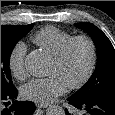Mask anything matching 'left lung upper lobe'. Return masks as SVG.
I'll return each instance as SVG.
<instances>
[{"label":"left lung upper lobe","mask_w":115,"mask_h":115,"mask_svg":"<svg viewBox=\"0 0 115 115\" xmlns=\"http://www.w3.org/2000/svg\"><path fill=\"white\" fill-rule=\"evenodd\" d=\"M86 30L97 49V64L88 82L71 97L85 101L99 97H115V50L107 36L89 22L77 23Z\"/></svg>","instance_id":"obj_1"}]
</instances>
